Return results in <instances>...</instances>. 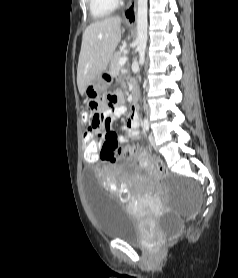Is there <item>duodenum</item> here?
Returning <instances> with one entry per match:
<instances>
[{"instance_id":"duodenum-1","label":"duodenum","mask_w":238,"mask_h":278,"mask_svg":"<svg viewBox=\"0 0 238 278\" xmlns=\"http://www.w3.org/2000/svg\"><path fill=\"white\" fill-rule=\"evenodd\" d=\"M132 106H133V111L138 112V96L136 91H133Z\"/></svg>"}]
</instances>
